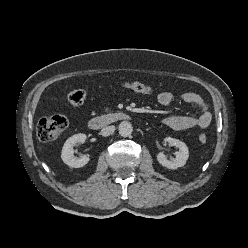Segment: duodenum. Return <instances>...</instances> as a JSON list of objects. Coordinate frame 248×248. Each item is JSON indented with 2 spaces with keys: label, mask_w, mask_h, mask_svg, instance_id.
<instances>
[{
  "label": "duodenum",
  "mask_w": 248,
  "mask_h": 248,
  "mask_svg": "<svg viewBox=\"0 0 248 248\" xmlns=\"http://www.w3.org/2000/svg\"><path fill=\"white\" fill-rule=\"evenodd\" d=\"M129 116L127 113L122 111H115L108 114L95 116L91 118L88 122V126L91 129H100L102 127L128 120Z\"/></svg>",
  "instance_id": "duodenum-1"
}]
</instances>
